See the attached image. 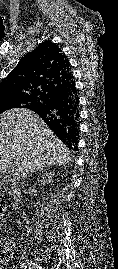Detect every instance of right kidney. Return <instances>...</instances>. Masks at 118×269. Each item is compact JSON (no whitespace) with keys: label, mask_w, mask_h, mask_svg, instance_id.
<instances>
[{"label":"right kidney","mask_w":118,"mask_h":269,"mask_svg":"<svg viewBox=\"0 0 118 269\" xmlns=\"http://www.w3.org/2000/svg\"><path fill=\"white\" fill-rule=\"evenodd\" d=\"M53 177H54V173H53V172H49V173L46 172V173L42 176L41 180H39V182H40L42 185H46V184H48V183H50V182L52 181Z\"/></svg>","instance_id":"right-kidney-1"}]
</instances>
